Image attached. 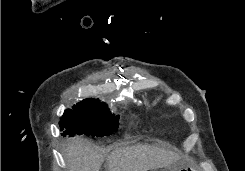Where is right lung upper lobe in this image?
<instances>
[{
  "mask_svg": "<svg viewBox=\"0 0 245 171\" xmlns=\"http://www.w3.org/2000/svg\"><path fill=\"white\" fill-rule=\"evenodd\" d=\"M98 99H92V98H88V99H85V100H83V101H97ZM82 101V102H83Z\"/></svg>",
  "mask_w": 245,
  "mask_h": 171,
  "instance_id": "cb5924a9",
  "label": "right lung upper lobe"
}]
</instances>
